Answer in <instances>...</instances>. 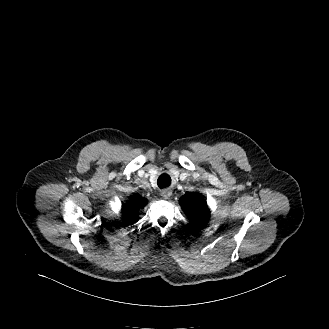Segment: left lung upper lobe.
<instances>
[{"label": "left lung upper lobe", "instance_id": "1", "mask_svg": "<svg viewBox=\"0 0 329 329\" xmlns=\"http://www.w3.org/2000/svg\"><path fill=\"white\" fill-rule=\"evenodd\" d=\"M180 205L194 225L205 226L210 215L206 200L198 193H186L180 200Z\"/></svg>", "mask_w": 329, "mask_h": 329}]
</instances>
